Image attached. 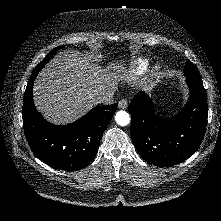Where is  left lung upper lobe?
Here are the masks:
<instances>
[{"instance_id":"5c2ea615","label":"left lung upper lobe","mask_w":221,"mask_h":221,"mask_svg":"<svg viewBox=\"0 0 221 221\" xmlns=\"http://www.w3.org/2000/svg\"><path fill=\"white\" fill-rule=\"evenodd\" d=\"M184 75L188 84L203 86L202 79L198 73V70L190 60H187L186 62Z\"/></svg>"}]
</instances>
